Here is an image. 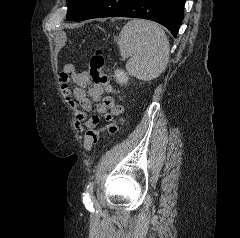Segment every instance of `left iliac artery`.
Instances as JSON below:
<instances>
[{
  "label": "left iliac artery",
  "mask_w": 240,
  "mask_h": 238,
  "mask_svg": "<svg viewBox=\"0 0 240 238\" xmlns=\"http://www.w3.org/2000/svg\"><path fill=\"white\" fill-rule=\"evenodd\" d=\"M94 182H90L83 196V203L87 208H93L90 195L93 193Z\"/></svg>",
  "instance_id": "1"
}]
</instances>
